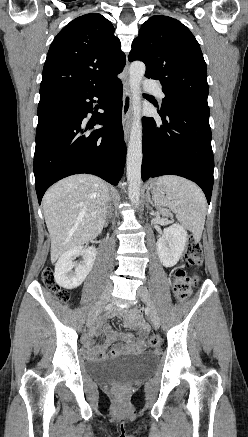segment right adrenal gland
<instances>
[{
    "mask_svg": "<svg viewBox=\"0 0 248 437\" xmlns=\"http://www.w3.org/2000/svg\"><path fill=\"white\" fill-rule=\"evenodd\" d=\"M112 216V211H111V204L108 207V212H107V216H106V221H105V226H107L109 219Z\"/></svg>",
    "mask_w": 248,
    "mask_h": 437,
    "instance_id": "1",
    "label": "right adrenal gland"
}]
</instances>
